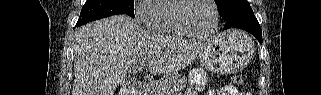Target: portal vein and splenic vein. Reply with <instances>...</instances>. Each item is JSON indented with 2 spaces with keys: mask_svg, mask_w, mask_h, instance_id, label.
Segmentation results:
<instances>
[{
  "mask_svg": "<svg viewBox=\"0 0 321 95\" xmlns=\"http://www.w3.org/2000/svg\"><path fill=\"white\" fill-rule=\"evenodd\" d=\"M144 66H145V62H144V61H141V62L137 65V67H138L139 70H141L142 68H144Z\"/></svg>",
  "mask_w": 321,
  "mask_h": 95,
  "instance_id": "obj_1",
  "label": "portal vein and splenic vein"
}]
</instances>
